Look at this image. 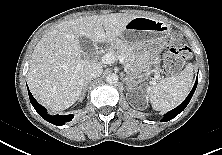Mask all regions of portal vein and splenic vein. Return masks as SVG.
<instances>
[{
    "instance_id": "portal-vein-and-splenic-vein-1",
    "label": "portal vein and splenic vein",
    "mask_w": 222,
    "mask_h": 155,
    "mask_svg": "<svg viewBox=\"0 0 222 155\" xmlns=\"http://www.w3.org/2000/svg\"><path fill=\"white\" fill-rule=\"evenodd\" d=\"M119 60L122 64H124V58L122 56L117 57L116 55L106 53L101 57V61L104 64H112L115 61ZM156 79H158V75H155Z\"/></svg>"
}]
</instances>
